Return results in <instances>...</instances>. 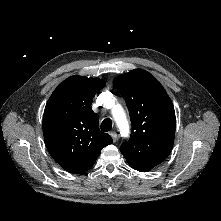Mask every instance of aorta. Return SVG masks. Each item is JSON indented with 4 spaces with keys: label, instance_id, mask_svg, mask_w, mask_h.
I'll return each instance as SVG.
<instances>
[{
    "label": "aorta",
    "instance_id": "762f6f07",
    "mask_svg": "<svg viewBox=\"0 0 221 221\" xmlns=\"http://www.w3.org/2000/svg\"><path fill=\"white\" fill-rule=\"evenodd\" d=\"M114 118H115L116 124H117L121 134L126 136L129 132V124L126 119L124 111L120 108L114 114Z\"/></svg>",
    "mask_w": 221,
    "mask_h": 221
}]
</instances>
